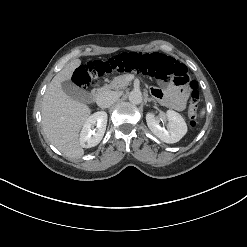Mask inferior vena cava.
<instances>
[{
	"label": "inferior vena cava",
	"instance_id": "602c4592",
	"mask_svg": "<svg viewBox=\"0 0 247 247\" xmlns=\"http://www.w3.org/2000/svg\"><path fill=\"white\" fill-rule=\"evenodd\" d=\"M119 95L116 92L108 91L101 94L97 99V105L101 108H109L115 101H117Z\"/></svg>",
	"mask_w": 247,
	"mask_h": 247
}]
</instances>
